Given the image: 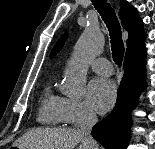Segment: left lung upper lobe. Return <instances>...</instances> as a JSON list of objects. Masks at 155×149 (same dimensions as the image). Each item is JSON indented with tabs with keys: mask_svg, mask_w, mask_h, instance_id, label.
Segmentation results:
<instances>
[{
	"mask_svg": "<svg viewBox=\"0 0 155 149\" xmlns=\"http://www.w3.org/2000/svg\"><path fill=\"white\" fill-rule=\"evenodd\" d=\"M67 36H68V34L66 33L58 40V42L56 43V45L54 46V48L50 54V57H53L61 50V48L63 47V45L67 39Z\"/></svg>",
	"mask_w": 155,
	"mask_h": 149,
	"instance_id": "left-lung-upper-lobe-1",
	"label": "left lung upper lobe"
}]
</instances>
